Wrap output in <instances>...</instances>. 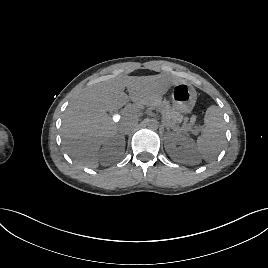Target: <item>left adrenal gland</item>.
Instances as JSON below:
<instances>
[{
	"instance_id": "1",
	"label": "left adrenal gland",
	"mask_w": 268,
	"mask_h": 268,
	"mask_svg": "<svg viewBox=\"0 0 268 268\" xmlns=\"http://www.w3.org/2000/svg\"><path fill=\"white\" fill-rule=\"evenodd\" d=\"M163 126L169 131L170 128L168 126H166L165 124H163Z\"/></svg>"
}]
</instances>
